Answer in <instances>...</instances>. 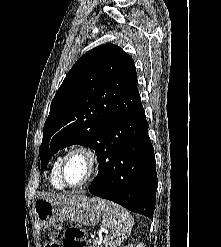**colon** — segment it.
<instances>
[{
	"label": "colon",
	"mask_w": 221,
	"mask_h": 247,
	"mask_svg": "<svg viewBox=\"0 0 221 247\" xmlns=\"http://www.w3.org/2000/svg\"><path fill=\"white\" fill-rule=\"evenodd\" d=\"M44 247H87L86 235L81 227L72 225L63 233L59 229L53 231Z\"/></svg>",
	"instance_id": "colon-1"
}]
</instances>
